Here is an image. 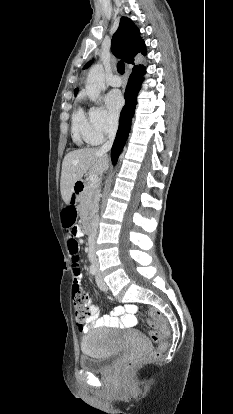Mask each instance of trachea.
<instances>
[{"instance_id":"obj_1","label":"trachea","mask_w":233,"mask_h":414,"mask_svg":"<svg viewBox=\"0 0 233 414\" xmlns=\"http://www.w3.org/2000/svg\"><path fill=\"white\" fill-rule=\"evenodd\" d=\"M117 70H118V72H119L121 75H123V74H124V70H125V65H124V62H122V61H119V62H118V64H117Z\"/></svg>"}]
</instances>
